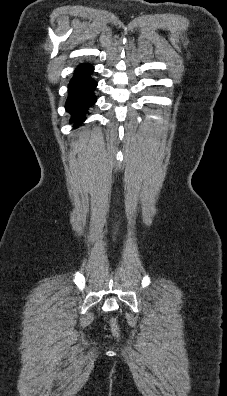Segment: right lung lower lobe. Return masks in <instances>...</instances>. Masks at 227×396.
<instances>
[{
    "mask_svg": "<svg viewBox=\"0 0 227 396\" xmlns=\"http://www.w3.org/2000/svg\"><path fill=\"white\" fill-rule=\"evenodd\" d=\"M93 70V66L89 64H80L68 85L69 95L65 108L72 115L70 122L74 123V126L86 119L89 107L96 102L93 91L97 83L90 76Z\"/></svg>",
    "mask_w": 227,
    "mask_h": 396,
    "instance_id": "obj_1",
    "label": "right lung lower lobe"
}]
</instances>
